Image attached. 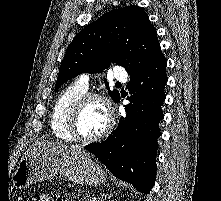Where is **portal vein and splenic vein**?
<instances>
[{"label": "portal vein and splenic vein", "mask_w": 221, "mask_h": 201, "mask_svg": "<svg viewBox=\"0 0 221 201\" xmlns=\"http://www.w3.org/2000/svg\"><path fill=\"white\" fill-rule=\"evenodd\" d=\"M87 201H91V199H87Z\"/></svg>", "instance_id": "18ae733b"}]
</instances>
